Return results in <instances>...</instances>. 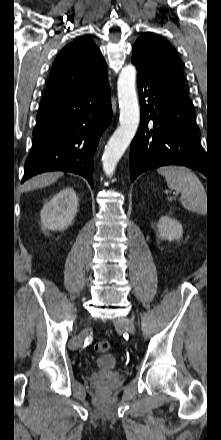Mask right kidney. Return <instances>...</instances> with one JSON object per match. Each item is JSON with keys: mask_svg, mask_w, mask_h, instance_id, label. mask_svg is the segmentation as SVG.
Returning <instances> with one entry per match:
<instances>
[{"mask_svg": "<svg viewBox=\"0 0 221 440\" xmlns=\"http://www.w3.org/2000/svg\"><path fill=\"white\" fill-rule=\"evenodd\" d=\"M78 198L73 188H65L56 193L41 210L43 229L61 230L71 225L75 218Z\"/></svg>", "mask_w": 221, "mask_h": 440, "instance_id": "obj_1", "label": "right kidney"}]
</instances>
